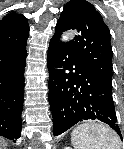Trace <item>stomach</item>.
<instances>
[{"mask_svg":"<svg viewBox=\"0 0 124 149\" xmlns=\"http://www.w3.org/2000/svg\"><path fill=\"white\" fill-rule=\"evenodd\" d=\"M92 126H101V127H104L103 125H99V124H91ZM113 133V132H112ZM114 135V133H113Z\"/></svg>","mask_w":124,"mask_h":149,"instance_id":"1","label":"stomach"}]
</instances>
